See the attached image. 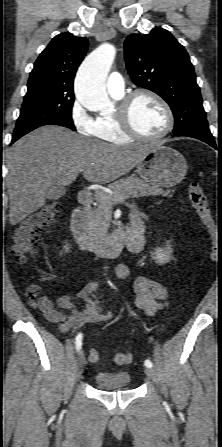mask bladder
Segmentation results:
<instances>
[{"label":"bladder","instance_id":"1","mask_svg":"<svg viewBox=\"0 0 222 447\" xmlns=\"http://www.w3.org/2000/svg\"><path fill=\"white\" fill-rule=\"evenodd\" d=\"M94 381L101 390H122L129 388L130 374L127 371H100Z\"/></svg>","mask_w":222,"mask_h":447}]
</instances>
